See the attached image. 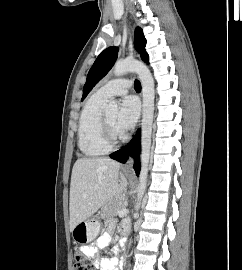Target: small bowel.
Returning <instances> with one entry per match:
<instances>
[{"mask_svg":"<svg viewBox=\"0 0 242 270\" xmlns=\"http://www.w3.org/2000/svg\"><path fill=\"white\" fill-rule=\"evenodd\" d=\"M128 228V223L124 222L122 225V231ZM113 226L109 225L108 230L103 233L95 243L84 247L83 252L87 257H96L100 249L106 248L111 242V232ZM122 246L123 243H120ZM96 264L100 270H122L121 263L119 261L118 255L111 257H104L96 261Z\"/></svg>","mask_w":242,"mask_h":270,"instance_id":"obj_1","label":"small bowel"}]
</instances>
